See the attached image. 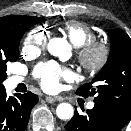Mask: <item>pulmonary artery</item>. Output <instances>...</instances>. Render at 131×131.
Returning a JSON list of instances; mask_svg holds the SVG:
<instances>
[{
    "label": "pulmonary artery",
    "instance_id": "1",
    "mask_svg": "<svg viewBox=\"0 0 131 131\" xmlns=\"http://www.w3.org/2000/svg\"><path fill=\"white\" fill-rule=\"evenodd\" d=\"M22 81V78H20V77H14L13 78V82L15 83V84H17V83H19V82H21ZM94 103L93 102H89L88 104H87V108L88 109H93L94 108Z\"/></svg>",
    "mask_w": 131,
    "mask_h": 131
}]
</instances>
